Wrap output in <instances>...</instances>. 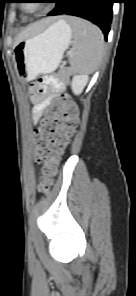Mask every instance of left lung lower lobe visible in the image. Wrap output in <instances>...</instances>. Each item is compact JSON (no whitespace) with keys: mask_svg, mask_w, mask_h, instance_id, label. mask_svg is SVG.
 Wrapping results in <instances>:
<instances>
[{"mask_svg":"<svg viewBox=\"0 0 136 296\" xmlns=\"http://www.w3.org/2000/svg\"><path fill=\"white\" fill-rule=\"evenodd\" d=\"M55 8L48 16L67 14L82 17L95 23L107 40L115 0H55Z\"/></svg>","mask_w":136,"mask_h":296,"instance_id":"1","label":"left lung lower lobe"}]
</instances>
